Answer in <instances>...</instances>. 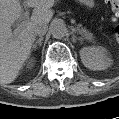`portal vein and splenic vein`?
Listing matches in <instances>:
<instances>
[{
	"label": "portal vein and splenic vein",
	"instance_id": "obj_1",
	"mask_svg": "<svg viewBox=\"0 0 119 119\" xmlns=\"http://www.w3.org/2000/svg\"><path fill=\"white\" fill-rule=\"evenodd\" d=\"M29 17V12L28 11H25L24 15H23V18L24 20L28 19ZM20 31V27H18L15 32H19Z\"/></svg>",
	"mask_w": 119,
	"mask_h": 119
}]
</instances>
